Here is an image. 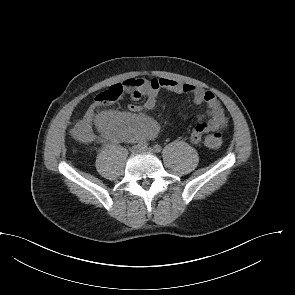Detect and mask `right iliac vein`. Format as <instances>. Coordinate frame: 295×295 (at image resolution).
I'll return each instance as SVG.
<instances>
[{
	"label": "right iliac vein",
	"mask_w": 295,
	"mask_h": 295,
	"mask_svg": "<svg viewBox=\"0 0 295 295\" xmlns=\"http://www.w3.org/2000/svg\"><path fill=\"white\" fill-rule=\"evenodd\" d=\"M139 150H140V147L138 145H134L130 148V151L132 153H137V152H139Z\"/></svg>",
	"instance_id": "right-iliac-vein-1"
}]
</instances>
